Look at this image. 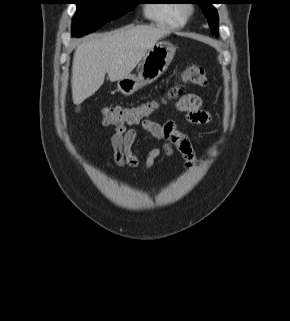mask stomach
<instances>
[{"label": "stomach", "instance_id": "stomach-1", "mask_svg": "<svg viewBox=\"0 0 290 321\" xmlns=\"http://www.w3.org/2000/svg\"><path fill=\"white\" fill-rule=\"evenodd\" d=\"M175 50V47L169 42H156L143 57L138 68V74H129L118 80V90L124 95H131L155 81L167 70L174 57Z\"/></svg>", "mask_w": 290, "mask_h": 321}]
</instances>
